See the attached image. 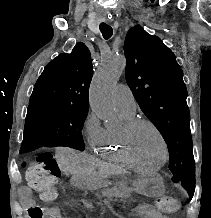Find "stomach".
I'll use <instances>...</instances> for the list:
<instances>
[{
	"label": "stomach",
	"instance_id": "stomach-1",
	"mask_svg": "<svg viewBox=\"0 0 211 218\" xmlns=\"http://www.w3.org/2000/svg\"><path fill=\"white\" fill-rule=\"evenodd\" d=\"M74 183L85 189H98L102 187H108L112 183L103 176L93 174H77L74 177ZM115 184L129 187L137 193L157 197L164 193L163 179L159 175H152L149 177H139L135 180H131L125 176H122L120 181Z\"/></svg>",
	"mask_w": 211,
	"mask_h": 218
}]
</instances>
